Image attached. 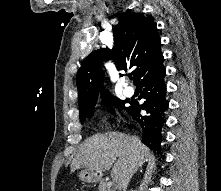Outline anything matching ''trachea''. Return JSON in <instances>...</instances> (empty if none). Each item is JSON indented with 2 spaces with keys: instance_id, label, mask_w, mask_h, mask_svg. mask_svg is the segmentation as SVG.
Instances as JSON below:
<instances>
[{
  "instance_id": "1",
  "label": "trachea",
  "mask_w": 221,
  "mask_h": 191,
  "mask_svg": "<svg viewBox=\"0 0 221 191\" xmlns=\"http://www.w3.org/2000/svg\"><path fill=\"white\" fill-rule=\"evenodd\" d=\"M129 79H130V80H132V79H133V77H132V76H129Z\"/></svg>"
}]
</instances>
